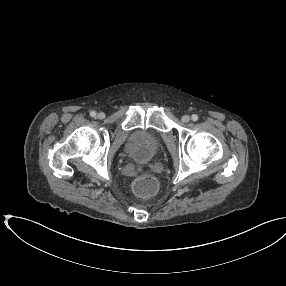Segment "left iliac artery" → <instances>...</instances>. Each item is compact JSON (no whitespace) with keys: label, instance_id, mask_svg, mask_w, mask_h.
<instances>
[{"label":"left iliac artery","instance_id":"1","mask_svg":"<svg viewBox=\"0 0 286 286\" xmlns=\"http://www.w3.org/2000/svg\"><path fill=\"white\" fill-rule=\"evenodd\" d=\"M192 120H193V121H197V120H198V116H197L196 114H193V115H192Z\"/></svg>","mask_w":286,"mask_h":286}]
</instances>
